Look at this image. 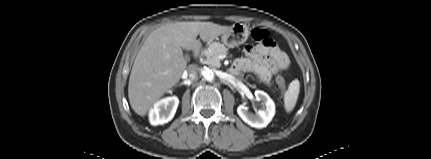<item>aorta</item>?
I'll list each match as a JSON object with an SVG mask.
<instances>
[{
    "label": "aorta",
    "mask_w": 431,
    "mask_h": 159,
    "mask_svg": "<svg viewBox=\"0 0 431 159\" xmlns=\"http://www.w3.org/2000/svg\"><path fill=\"white\" fill-rule=\"evenodd\" d=\"M201 75L203 76V78L205 79V81L207 82H212L215 79V74L214 72H212L211 70H209L208 68H203L201 70Z\"/></svg>",
    "instance_id": "aorta-1"
}]
</instances>
